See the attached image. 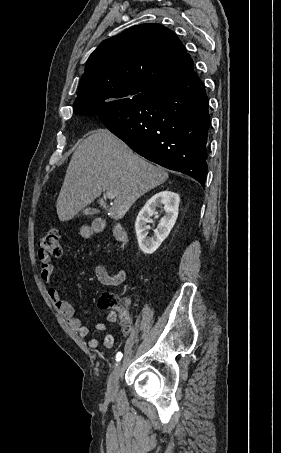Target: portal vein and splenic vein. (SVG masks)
<instances>
[{
    "label": "portal vein and splenic vein",
    "mask_w": 281,
    "mask_h": 453,
    "mask_svg": "<svg viewBox=\"0 0 281 453\" xmlns=\"http://www.w3.org/2000/svg\"><path fill=\"white\" fill-rule=\"evenodd\" d=\"M106 196L107 198H115V194L112 190H106Z\"/></svg>",
    "instance_id": "1"
}]
</instances>
